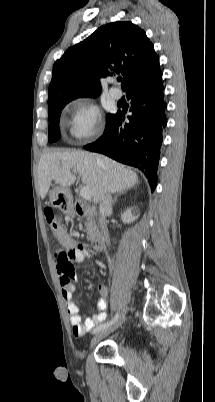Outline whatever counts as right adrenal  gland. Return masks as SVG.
<instances>
[{
  "mask_svg": "<svg viewBox=\"0 0 215 402\" xmlns=\"http://www.w3.org/2000/svg\"><path fill=\"white\" fill-rule=\"evenodd\" d=\"M127 190H128V189H126V190H122L121 192H118V193L115 195V197H114V200H113L112 204H113V205H115V203H116V201H117L118 197H119L120 195H122V194L126 193V191H127Z\"/></svg>",
  "mask_w": 215,
  "mask_h": 402,
  "instance_id": "right-adrenal-gland-1",
  "label": "right adrenal gland"
}]
</instances>
